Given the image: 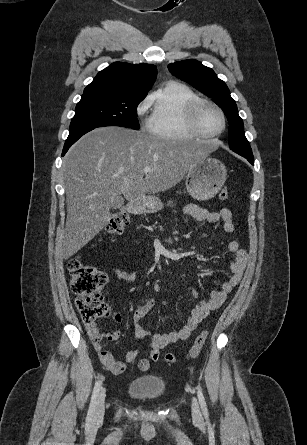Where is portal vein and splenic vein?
Instances as JSON below:
<instances>
[{"instance_id":"portal-vein-and-splenic-vein-1","label":"portal vein and splenic vein","mask_w":307,"mask_h":445,"mask_svg":"<svg viewBox=\"0 0 307 445\" xmlns=\"http://www.w3.org/2000/svg\"><path fill=\"white\" fill-rule=\"evenodd\" d=\"M152 170H155V168H150V166H144L143 172H152Z\"/></svg>"}]
</instances>
